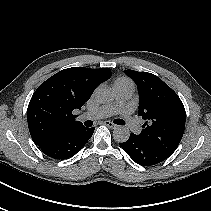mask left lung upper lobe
<instances>
[{"label": "left lung upper lobe", "mask_w": 211, "mask_h": 211, "mask_svg": "<svg viewBox=\"0 0 211 211\" xmlns=\"http://www.w3.org/2000/svg\"><path fill=\"white\" fill-rule=\"evenodd\" d=\"M138 87V115L146 120L140 138L167 156L177 149L185 129V108L178 95L148 72L124 71Z\"/></svg>", "instance_id": "obj_1"}]
</instances>
